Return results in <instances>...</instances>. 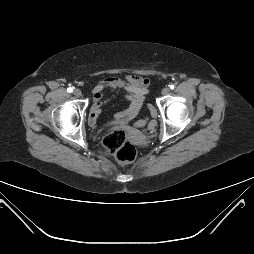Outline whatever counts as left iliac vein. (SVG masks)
<instances>
[{"label":"left iliac vein","instance_id":"left-iliac-vein-1","mask_svg":"<svg viewBox=\"0 0 254 254\" xmlns=\"http://www.w3.org/2000/svg\"><path fill=\"white\" fill-rule=\"evenodd\" d=\"M169 92H170V89L168 87H165V88L162 89V94L163 95H167V94H169Z\"/></svg>","mask_w":254,"mask_h":254}]
</instances>
